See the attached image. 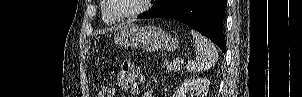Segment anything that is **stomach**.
Returning <instances> with one entry per match:
<instances>
[{
	"label": "stomach",
	"instance_id": "0dacf381",
	"mask_svg": "<svg viewBox=\"0 0 302 97\" xmlns=\"http://www.w3.org/2000/svg\"><path fill=\"white\" fill-rule=\"evenodd\" d=\"M122 47H141L150 52H173L179 48L177 38L156 26H139L133 23L121 27L114 37Z\"/></svg>",
	"mask_w": 302,
	"mask_h": 97
}]
</instances>
